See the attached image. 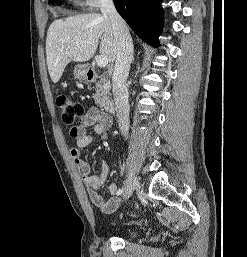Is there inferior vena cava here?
Listing matches in <instances>:
<instances>
[{"mask_svg":"<svg viewBox=\"0 0 247 257\" xmlns=\"http://www.w3.org/2000/svg\"><path fill=\"white\" fill-rule=\"evenodd\" d=\"M100 10L108 16L117 42L115 68L112 76V90L121 134L128 137L129 103L126 80L133 59V43L125 21L116 11L113 0H101Z\"/></svg>","mask_w":247,"mask_h":257,"instance_id":"obj_1","label":"inferior vena cava"}]
</instances>
